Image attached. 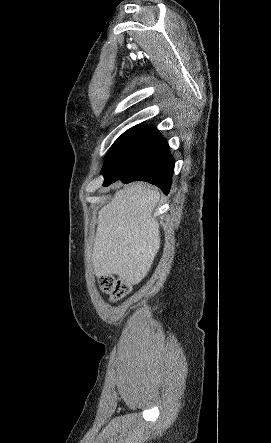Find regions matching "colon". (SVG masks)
<instances>
[{
    "instance_id": "obj_1",
    "label": "colon",
    "mask_w": 271,
    "mask_h": 443,
    "mask_svg": "<svg viewBox=\"0 0 271 443\" xmlns=\"http://www.w3.org/2000/svg\"><path fill=\"white\" fill-rule=\"evenodd\" d=\"M100 289L112 298L125 297L131 290V283L121 276H101L98 280Z\"/></svg>"
}]
</instances>
